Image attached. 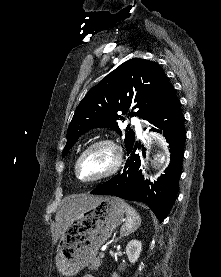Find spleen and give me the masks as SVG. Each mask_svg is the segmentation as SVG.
Wrapping results in <instances>:
<instances>
[{"label": "spleen", "mask_w": 221, "mask_h": 277, "mask_svg": "<svg viewBox=\"0 0 221 277\" xmlns=\"http://www.w3.org/2000/svg\"><path fill=\"white\" fill-rule=\"evenodd\" d=\"M122 203L125 207L126 222L121 228V235L127 236L131 232H134L140 226L141 218L134 208L124 202Z\"/></svg>", "instance_id": "obj_1"}]
</instances>
